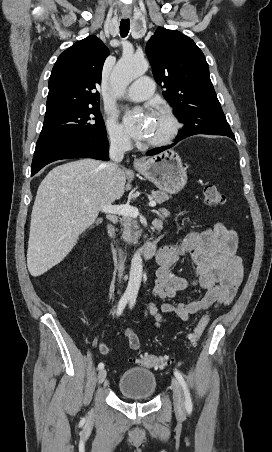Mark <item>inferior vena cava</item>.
Returning a JSON list of instances; mask_svg holds the SVG:
<instances>
[{"label":"inferior vena cava","mask_w":272,"mask_h":452,"mask_svg":"<svg viewBox=\"0 0 272 452\" xmlns=\"http://www.w3.org/2000/svg\"><path fill=\"white\" fill-rule=\"evenodd\" d=\"M131 148L130 140L122 133H114L110 136L109 162L104 163L108 176H115L119 170V163L124 158V153ZM124 263L120 260L118 265V277L121 280L124 272Z\"/></svg>","instance_id":"obj_1"}]
</instances>
